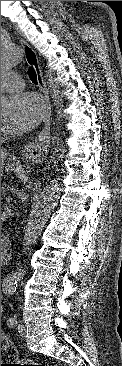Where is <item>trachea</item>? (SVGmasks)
I'll use <instances>...</instances> for the list:
<instances>
[{
  "label": "trachea",
  "instance_id": "3493384b",
  "mask_svg": "<svg viewBox=\"0 0 122 366\" xmlns=\"http://www.w3.org/2000/svg\"><path fill=\"white\" fill-rule=\"evenodd\" d=\"M28 74H29V78L30 80L37 84V74L35 72V69L33 67H30L29 70H28Z\"/></svg>",
  "mask_w": 122,
  "mask_h": 366
}]
</instances>
